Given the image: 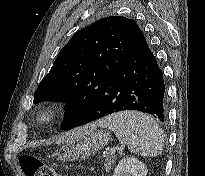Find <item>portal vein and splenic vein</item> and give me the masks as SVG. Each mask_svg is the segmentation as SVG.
<instances>
[{"label":"portal vein and splenic vein","instance_id":"1","mask_svg":"<svg viewBox=\"0 0 205 176\" xmlns=\"http://www.w3.org/2000/svg\"><path fill=\"white\" fill-rule=\"evenodd\" d=\"M115 153V148L110 149V154L113 155Z\"/></svg>","mask_w":205,"mask_h":176}]
</instances>
